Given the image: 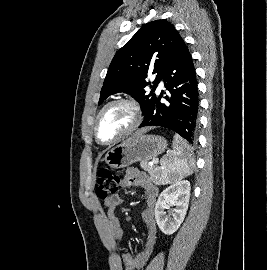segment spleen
<instances>
[{
  "mask_svg": "<svg viewBox=\"0 0 267 270\" xmlns=\"http://www.w3.org/2000/svg\"><path fill=\"white\" fill-rule=\"evenodd\" d=\"M193 157L187 142L178 134L173 137V150L161 159L159 183L169 184L193 173Z\"/></svg>",
  "mask_w": 267,
  "mask_h": 270,
  "instance_id": "3e777b00",
  "label": "spleen"
}]
</instances>
